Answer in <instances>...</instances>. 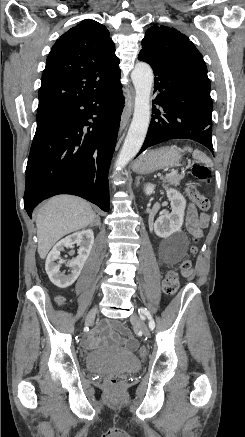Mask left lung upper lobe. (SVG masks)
<instances>
[{"instance_id": "5c2ea615", "label": "left lung upper lobe", "mask_w": 245, "mask_h": 437, "mask_svg": "<svg viewBox=\"0 0 245 437\" xmlns=\"http://www.w3.org/2000/svg\"><path fill=\"white\" fill-rule=\"evenodd\" d=\"M139 55L210 89L203 56L186 35L174 28L163 25L149 28Z\"/></svg>"}]
</instances>
